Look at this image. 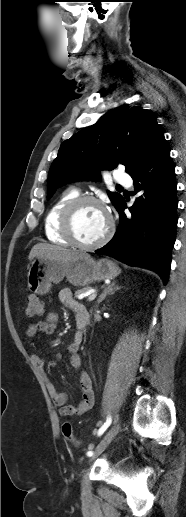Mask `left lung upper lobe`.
<instances>
[{"label": "left lung upper lobe", "mask_w": 186, "mask_h": 517, "mask_svg": "<svg viewBox=\"0 0 186 517\" xmlns=\"http://www.w3.org/2000/svg\"><path fill=\"white\" fill-rule=\"evenodd\" d=\"M164 138L156 117L140 107H118L65 140L54 159L47 183V199L57 188L78 180L100 178L101 170L124 165L130 175ZM117 206L123 196L108 191Z\"/></svg>", "instance_id": "1"}]
</instances>
